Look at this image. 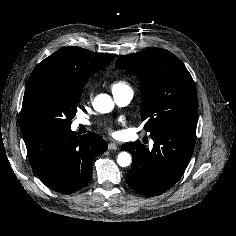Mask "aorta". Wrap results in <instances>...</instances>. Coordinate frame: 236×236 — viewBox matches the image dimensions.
<instances>
[{
    "label": "aorta",
    "mask_w": 236,
    "mask_h": 236,
    "mask_svg": "<svg viewBox=\"0 0 236 236\" xmlns=\"http://www.w3.org/2000/svg\"><path fill=\"white\" fill-rule=\"evenodd\" d=\"M93 107L100 113H109L114 108V103L109 95L100 94L95 98ZM131 160V155L128 152L119 153L117 158V162L121 167L129 166Z\"/></svg>",
    "instance_id": "1"
}]
</instances>
